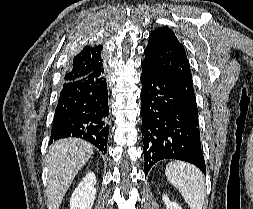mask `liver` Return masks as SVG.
I'll list each match as a JSON object with an SVG mask.
<instances>
[{"label":"liver","instance_id":"6515ba94","mask_svg":"<svg viewBox=\"0 0 253 209\" xmlns=\"http://www.w3.org/2000/svg\"><path fill=\"white\" fill-rule=\"evenodd\" d=\"M92 154L93 145L79 138L61 139L50 146L46 196L52 209H59L73 179Z\"/></svg>","mask_w":253,"mask_h":209}]
</instances>
